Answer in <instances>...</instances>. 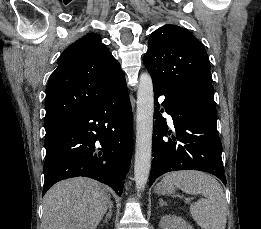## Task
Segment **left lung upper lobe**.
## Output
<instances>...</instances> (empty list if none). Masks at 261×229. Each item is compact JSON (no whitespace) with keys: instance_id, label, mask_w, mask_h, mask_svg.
<instances>
[{"instance_id":"left-lung-upper-lobe-1","label":"left lung upper lobe","mask_w":261,"mask_h":229,"mask_svg":"<svg viewBox=\"0 0 261 229\" xmlns=\"http://www.w3.org/2000/svg\"><path fill=\"white\" fill-rule=\"evenodd\" d=\"M143 63L155 82L168 88L198 91L214 98L206 50L184 28L168 24L154 31Z\"/></svg>"}]
</instances>
